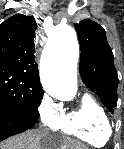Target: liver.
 Wrapping results in <instances>:
<instances>
[{
	"instance_id": "liver-1",
	"label": "liver",
	"mask_w": 124,
	"mask_h": 149,
	"mask_svg": "<svg viewBox=\"0 0 124 149\" xmlns=\"http://www.w3.org/2000/svg\"><path fill=\"white\" fill-rule=\"evenodd\" d=\"M87 149L82 143L67 138L58 137L45 130H31L14 136L0 145V149Z\"/></svg>"
}]
</instances>
